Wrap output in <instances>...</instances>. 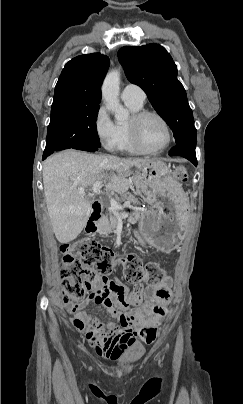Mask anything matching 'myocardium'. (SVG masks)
I'll return each mask as SVG.
<instances>
[{
	"instance_id": "myocardium-1",
	"label": "myocardium",
	"mask_w": 243,
	"mask_h": 404,
	"mask_svg": "<svg viewBox=\"0 0 243 404\" xmlns=\"http://www.w3.org/2000/svg\"><path fill=\"white\" fill-rule=\"evenodd\" d=\"M149 115H154L157 116L159 119L163 121L167 128L168 132V139L165 145H163L161 148L158 149H151L147 147L146 145L143 144V142L140 140L138 134H137V126L138 124L147 116ZM127 130L129 133V136L133 142V144L139 148L141 151L149 154H154V153H160L168 149L173 141V129L168 121V119L159 111L153 110V109H142L138 111L137 113L133 114L129 122L127 123Z\"/></svg>"
}]
</instances>
